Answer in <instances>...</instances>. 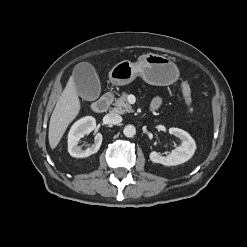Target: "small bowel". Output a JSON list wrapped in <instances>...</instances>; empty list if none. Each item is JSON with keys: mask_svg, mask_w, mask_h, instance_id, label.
Instances as JSON below:
<instances>
[{"mask_svg": "<svg viewBox=\"0 0 247 247\" xmlns=\"http://www.w3.org/2000/svg\"><path fill=\"white\" fill-rule=\"evenodd\" d=\"M162 104V98L161 97H155L151 103V108L153 110H157Z\"/></svg>", "mask_w": 247, "mask_h": 247, "instance_id": "c3829d8e", "label": "small bowel"}]
</instances>
